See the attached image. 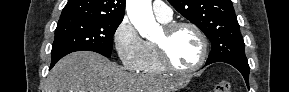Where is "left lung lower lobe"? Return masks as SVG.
Returning a JSON list of instances; mask_svg holds the SVG:
<instances>
[{
  "label": "left lung lower lobe",
  "mask_w": 289,
  "mask_h": 92,
  "mask_svg": "<svg viewBox=\"0 0 289 92\" xmlns=\"http://www.w3.org/2000/svg\"><path fill=\"white\" fill-rule=\"evenodd\" d=\"M214 62H225L234 66L237 70L241 72V74L243 75L246 81L247 86L249 87V69L250 68H249L247 61H240V60H234V59H220V60L213 61V62H206V65H209Z\"/></svg>",
  "instance_id": "obj_1"
}]
</instances>
